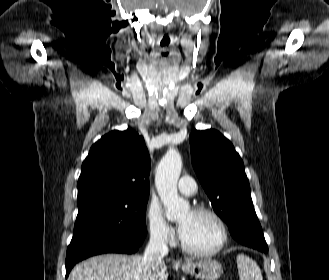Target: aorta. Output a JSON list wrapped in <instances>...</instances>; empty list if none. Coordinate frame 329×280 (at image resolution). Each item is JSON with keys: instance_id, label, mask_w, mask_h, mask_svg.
Wrapping results in <instances>:
<instances>
[{"instance_id": "1", "label": "aorta", "mask_w": 329, "mask_h": 280, "mask_svg": "<svg viewBox=\"0 0 329 280\" xmlns=\"http://www.w3.org/2000/svg\"><path fill=\"white\" fill-rule=\"evenodd\" d=\"M181 168V156L172 148L167 151L156 170L155 185L168 219L179 218L189 210V203L180 198L177 191Z\"/></svg>"}]
</instances>
